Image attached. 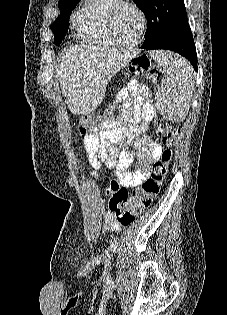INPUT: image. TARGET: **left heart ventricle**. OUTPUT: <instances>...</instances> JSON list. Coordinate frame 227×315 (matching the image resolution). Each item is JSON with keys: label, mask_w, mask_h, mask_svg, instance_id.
<instances>
[{"label": "left heart ventricle", "mask_w": 227, "mask_h": 315, "mask_svg": "<svg viewBox=\"0 0 227 315\" xmlns=\"http://www.w3.org/2000/svg\"><path fill=\"white\" fill-rule=\"evenodd\" d=\"M141 29V18L131 7H122L115 19L114 32L118 41L130 44L137 40Z\"/></svg>", "instance_id": "1"}]
</instances>
